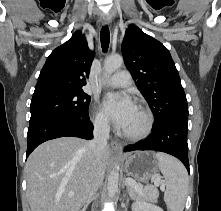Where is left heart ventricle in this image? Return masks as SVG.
Returning <instances> with one entry per match:
<instances>
[{
  "instance_id": "left-heart-ventricle-1",
  "label": "left heart ventricle",
  "mask_w": 221,
  "mask_h": 211,
  "mask_svg": "<svg viewBox=\"0 0 221 211\" xmlns=\"http://www.w3.org/2000/svg\"><path fill=\"white\" fill-rule=\"evenodd\" d=\"M144 125L145 116L137 107H135L122 130L128 133H138L143 129Z\"/></svg>"
}]
</instances>
